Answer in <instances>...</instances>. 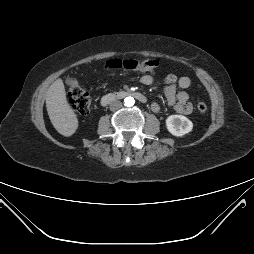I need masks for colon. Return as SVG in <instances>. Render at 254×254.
<instances>
[{
  "label": "colon",
  "instance_id": "colon-1",
  "mask_svg": "<svg viewBox=\"0 0 254 254\" xmlns=\"http://www.w3.org/2000/svg\"><path fill=\"white\" fill-rule=\"evenodd\" d=\"M107 67L111 69H127L135 71H149L156 68L159 62L154 59H111L107 61ZM71 106L75 112L80 115H87L91 108L90 94L80 85L78 81H73L68 91ZM197 110L204 114L207 106L204 102L197 104Z\"/></svg>",
  "mask_w": 254,
  "mask_h": 254
}]
</instances>
